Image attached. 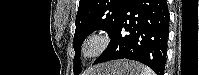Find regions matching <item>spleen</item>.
<instances>
[{"mask_svg":"<svg viewBox=\"0 0 199 75\" xmlns=\"http://www.w3.org/2000/svg\"><path fill=\"white\" fill-rule=\"evenodd\" d=\"M141 68H142L141 75H155L150 68L144 66H141Z\"/></svg>","mask_w":199,"mask_h":75,"instance_id":"obj_1","label":"spleen"}]
</instances>
